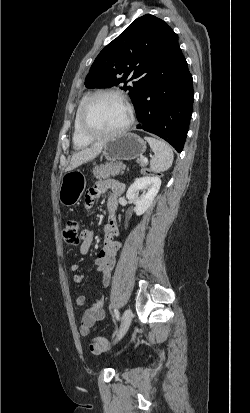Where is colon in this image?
<instances>
[{
  "mask_svg": "<svg viewBox=\"0 0 250 413\" xmlns=\"http://www.w3.org/2000/svg\"><path fill=\"white\" fill-rule=\"evenodd\" d=\"M146 177H156L157 179L163 178V173L159 172L157 168H146L144 170ZM80 224L77 220L67 221L64 230V240L71 245H76L82 239ZM109 345V339L105 337H97L91 340L90 348L92 349H105Z\"/></svg>",
  "mask_w": 250,
  "mask_h": 413,
  "instance_id": "5ec220e1",
  "label": "colon"
}]
</instances>
